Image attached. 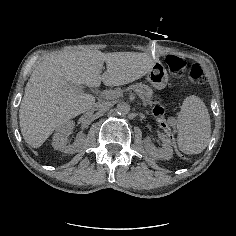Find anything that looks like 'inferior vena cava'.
<instances>
[{"mask_svg":"<svg viewBox=\"0 0 236 236\" xmlns=\"http://www.w3.org/2000/svg\"><path fill=\"white\" fill-rule=\"evenodd\" d=\"M111 102L109 101H102V102H97L94 104V108L96 110H106L109 109L111 107Z\"/></svg>","mask_w":236,"mask_h":236,"instance_id":"602c4592","label":"inferior vena cava"}]
</instances>
